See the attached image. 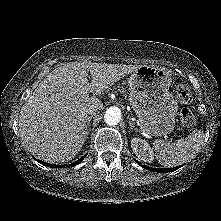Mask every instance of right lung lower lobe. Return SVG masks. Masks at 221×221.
<instances>
[{
  "mask_svg": "<svg viewBox=\"0 0 221 221\" xmlns=\"http://www.w3.org/2000/svg\"><path fill=\"white\" fill-rule=\"evenodd\" d=\"M87 155V154H86ZM86 155L85 156H83V157H81L78 161H76L75 163H72V164H70V165H61V166H59V165H54V164H48L49 165V167L51 166V167H64V166H67V167H69V166H74V165H76V164H78L79 162H81L85 157H86ZM43 165H46V163H44V162H42V161H40Z\"/></svg>",
  "mask_w": 221,
  "mask_h": 221,
  "instance_id": "obj_1",
  "label": "right lung lower lobe"
}]
</instances>
